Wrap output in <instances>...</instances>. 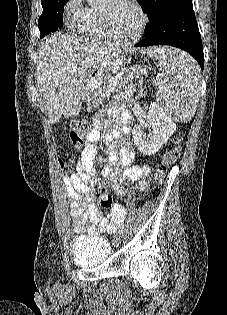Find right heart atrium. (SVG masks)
<instances>
[{
	"label": "right heart atrium",
	"instance_id": "right-heart-atrium-1",
	"mask_svg": "<svg viewBox=\"0 0 227 315\" xmlns=\"http://www.w3.org/2000/svg\"><path fill=\"white\" fill-rule=\"evenodd\" d=\"M86 10L82 0H67L64 5V13L76 21Z\"/></svg>",
	"mask_w": 227,
	"mask_h": 315
}]
</instances>
